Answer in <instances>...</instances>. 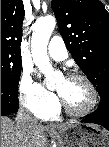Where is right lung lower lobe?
<instances>
[{"label": "right lung lower lobe", "instance_id": "obj_1", "mask_svg": "<svg viewBox=\"0 0 109 147\" xmlns=\"http://www.w3.org/2000/svg\"><path fill=\"white\" fill-rule=\"evenodd\" d=\"M19 101L17 90L1 86V115H11L18 111Z\"/></svg>", "mask_w": 109, "mask_h": 147}]
</instances>
